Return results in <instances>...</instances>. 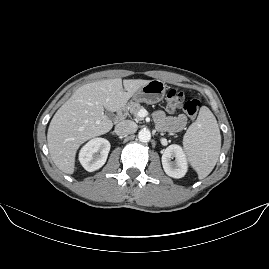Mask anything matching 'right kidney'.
I'll return each instance as SVG.
<instances>
[{
  "mask_svg": "<svg viewBox=\"0 0 269 269\" xmlns=\"http://www.w3.org/2000/svg\"><path fill=\"white\" fill-rule=\"evenodd\" d=\"M110 147V142L104 138L91 139L79 152L81 165L89 172L98 170L105 164Z\"/></svg>",
  "mask_w": 269,
  "mask_h": 269,
  "instance_id": "ca27d5eb",
  "label": "right kidney"
}]
</instances>
